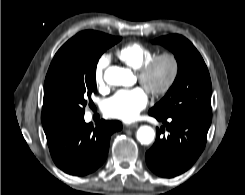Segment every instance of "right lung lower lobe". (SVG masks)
<instances>
[{
	"instance_id": "right-lung-lower-lobe-1",
	"label": "right lung lower lobe",
	"mask_w": 245,
	"mask_h": 195,
	"mask_svg": "<svg viewBox=\"0 0 245 195\" xmlns=\"http://www.w3.org/2000/svg\"><path fill=\"white\" fill-rule=\"evenodd\" d=\"M121 128L119 121L106 120L94 128L92 123H85L83 116L46 133V138L55 164L70 175L84 176L103 164L111 134Z\"/></svg>"
}]
</instances>
